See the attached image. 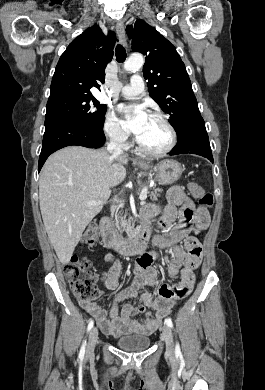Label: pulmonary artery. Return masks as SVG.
Instances as JSON below:
<instances>
[{
    "instance_id": "1",
    "label": "pulmonary artery",
    "mask_w": 265,
    "mask_h": 390,
    "mask_svg": "<svg viewBox=\"0 0 265 390\" xmlns=\"http://www.w3.org/2000/svg\"><path fill=\"white\" fill-rule=\"evenodd\" d=\"M119 93L127 99H135L144 91V81L140 75H133L130 83L121 87Z\"/></svg>"
}]
</instances>
